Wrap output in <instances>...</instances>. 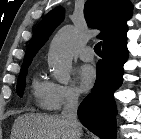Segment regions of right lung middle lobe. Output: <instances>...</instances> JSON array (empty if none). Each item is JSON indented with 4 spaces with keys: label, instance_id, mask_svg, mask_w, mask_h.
<instances>
[{
    "label": "right lung middle lobe",
    "instance_id": "dd1d6c3e",
    "mask_svg": "<svg viewBox=\"0 0 141 139\" xmlns=\"http://www.w3.org/2000/svg\"><path fill=\"white\" fill-rule=\"evenodd\" d=\"M29 66H24L21 68L19 77H18V81H17V94L22 97L23 96V90L25 87V78H26V74H27V68Z\"/></svg>",
    "mask_w": 141,
    "mask_h": 139
}]
</instances>
